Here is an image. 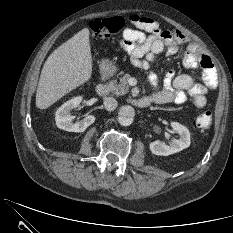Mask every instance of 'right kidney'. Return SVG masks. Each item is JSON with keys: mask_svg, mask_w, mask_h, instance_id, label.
Listing matches in <instances>:
<instances>
[{"mask_svg": "<svg viewBox=\"0 0 233 233\" xmlns=\"http://www.w3.org/2000/svg\"><path fill=\"white\" fill-rule=\"evenodd\" d=\"M82 101V97H75L65 102L55 114V121L58 128L69 132H84L88 126L95 121L93 115H86L84 119L79 122L73 123V116L70 115V111L76 109Z\"/></svg>", "mask_w": 233, "mask_h": 233, "instance_id": "right-kidney-1", "label": "right kidney"}]
</instances>
